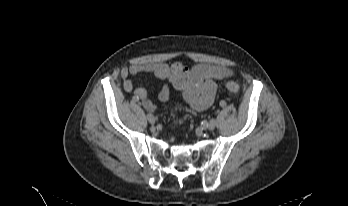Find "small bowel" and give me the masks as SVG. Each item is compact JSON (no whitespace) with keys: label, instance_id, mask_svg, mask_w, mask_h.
<instances>
[{"label":"small bowel","instance_id":"1","mask_svg":"<svg viewBox=\"0 0 348 206\" xmlns=\"http://www.w3.org/2000/svg\"><path fill=\"white\" fill-rule=\"evenodd\" d=\"M141 73H149L160 82L168 81L192 109L202 111L209 108L214 101L216 81L232 76L234 72L224 66L199 64L188 68L181 63L133 64L123 68L120 73L123 88L132 92L134 99L140 101L146 110L155 111L156 105L149 99L147 91L141 87L135 88L131 79V76ZM169 98V85L159 84V100L167 102Z\"/></svg>","mask_w":348,"mask_h":206}]
</instances>
